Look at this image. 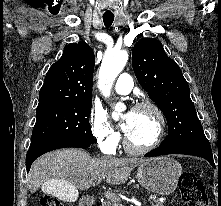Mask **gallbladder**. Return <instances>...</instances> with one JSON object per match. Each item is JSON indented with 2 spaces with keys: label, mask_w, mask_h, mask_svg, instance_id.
Segmentation results:
<instances>
[{
  "label": "gallbladder",
  "mask_w": 221,
  "mask_h": 206,
  "mask_svg": "<svg viewBox=\"0 0 221 206\" xmlns=\"http://www.w3.org/2000/svg\"><path fill=\"white\" fill-rule=\"evenodd\" d=\"M69 184V181H47L46 185H41V190H44V194H51V198H59L60 202L74 205V198H80V193L75 189V185Z\"/></svg>",
  "instance_id": "1"
}]
</instances>
